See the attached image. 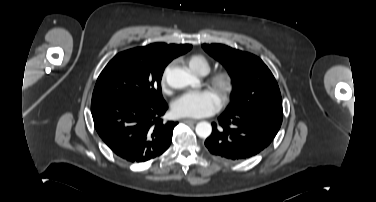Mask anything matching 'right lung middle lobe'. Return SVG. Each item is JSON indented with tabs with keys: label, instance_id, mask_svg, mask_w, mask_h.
<instances>
[{
	"label": "right lung middle lobe",
	"instance_id": "dd1d6c3e",
	"mask_svg": "<svg viewBox=\"0 0 376 202\" xmlns=\"http://www.w3.org/2000/svg\"><path fill=\"white\" fill-rule=\"evenodd\" d=\"M165 67L150 68L134 48L117 54L97 79L92 103L110 97L161 100V78Z\"/></svg>",
	"mask_w": 376,
	"mask_h": 202
}]
</instances>
